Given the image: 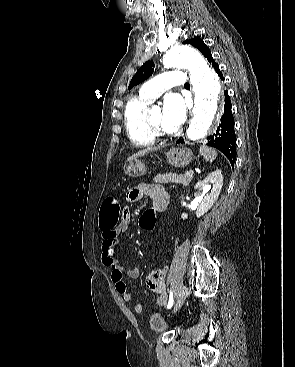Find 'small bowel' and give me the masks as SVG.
Wrapping results in <instances>:
<instances>
[{"instance_id": "obj_1", "label": "small bowel", "mask_w": 295, "mask_h": 367, "mask_svg": "<svg viewBox=\"0 0 295 367\" xmlns=\"http://www.w3.org/2000/svg\"><path fill=\"white\" fill-rule=\"evenodd\" d=\"M144 196L149 197L153 201V205L157 201L168 203L169 196L164 187L157 184L142 183L131 190L127 194V200L130 203H135L141 200ZM122 216L120 217V223L113 228H101L102 231V252L101 261L104 266L111 271V280L115 286L116 291L122 296V299L126 303L132 301V295L128 292L126 283L124 281V274L128 277L135 279L139 276V270L136 267L125 269L123 265L115 256L116 248L118 245V237L120 234L127 231L130 219L133 214L132 208H122ZM167 268L150 272L146 277V284L148 288L158 293L157 304L163 305L166 301V289H165V275ZM143 307L140 303L134 305V311L141 313Z\"/></svg>"}]
</instances>
